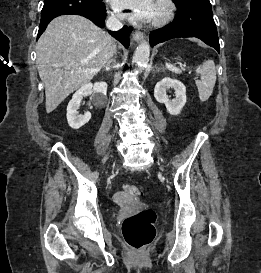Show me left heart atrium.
<instances>
[{"instance_id": "39dd6f15", "label": "left heart atrium", "mask_w": 261, "mask_h": 273, "mask_svg": "<svg viewBox=\"0 0 261 273\" xmlns=\"http://www.w3.org/2000/svg\"><path fill=\"white\" fill-rule=\"evenodd\" d=\"M113 7L123 11L130 19L149 21L154 17L155 0H110Z\"/></svg>"}]
</instances>
